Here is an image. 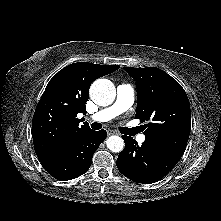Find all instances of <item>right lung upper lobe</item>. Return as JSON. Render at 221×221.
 Here are the masks:
<instances>
[{
  "mask_svg": "<svg viewBox=\"0 0 221 221\" xmlns=\"http://www.w3.org/2000/svg\"><path fill=\"white\" fill-rule=\"evenodd\" d=\"M118 65H99L77 62L60 70L49 81L32 120L35 152L40 161L50 158L85 132L78 113L86 114L91 83L99 77L114 72Z\"/></svg>",
  "mask_w": 221,
  "mask_h": 221,
  "instance_id": "right-lung-upper-lobe-1",
  "label": "right lung upper lobe"
}]
</instances>
